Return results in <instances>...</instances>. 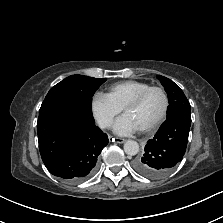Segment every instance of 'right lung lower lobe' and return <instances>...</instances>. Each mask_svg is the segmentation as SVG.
Listing matches in <instances>:
<instances>
[{
  "instance_id": "obj_1",
  "label": "right lung lower lobe",
  "mask_w": 223,
  "mask_h": 223,
  "mask_svg": "<svg viewBox=\"0 0 223 223\" xmlns=\"http://www.w3.org/2000/svg\"><path fill=\"white\" fill-rule=\"evenodd\" d=\"M39 149L48 171L68 183H79L95 171L108 144L107 134L94 122L92 111L65 102L39 112Z\"/></svg>"
}]
</instances>
